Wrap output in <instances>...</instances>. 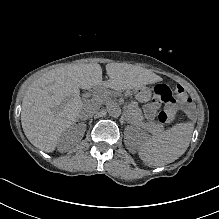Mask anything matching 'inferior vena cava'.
I'll return each instance as SVG.
<instances>
[{"instance_id":"602c4592","label":"inferior vena cava","mask_w":219,"mask_h":219,"mask_svg":"<svg viewBox=\"0 0 219 219\" xmlns=\"http://www.w3.org/2000/svg\"><path fill=\"white\" fill-rule=\"evenodd\" d=\"M80 112V117L89 118L94 115L95 109L92 104L86 103L81 106Z\"/></svg>"}]
</instances>
